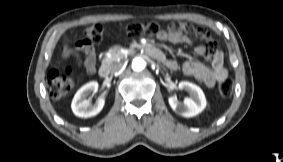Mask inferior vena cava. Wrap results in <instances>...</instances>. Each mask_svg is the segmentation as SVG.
I'll list each match as a JSON object with an SVG mask.
<instances>
[{"label":"inferior vena cava","mask_w":283,"mask_h":162,"mask_svg":"<svg viewBox=\"0 0 283 162\" xmlns=\"http://www.w3.org/2000/svg\"><path fill=\"white\" fill-rule=\"evenodd\" d=\"M121 68H122V65H121V64L114 66V67L112 68V73H115V72L119 71Z\"/></svg>","instance_id":"obj_1"}]
</instances>
